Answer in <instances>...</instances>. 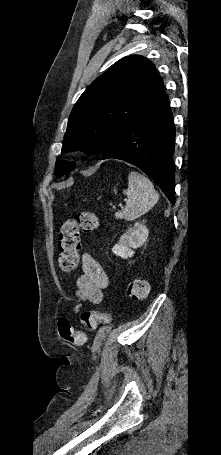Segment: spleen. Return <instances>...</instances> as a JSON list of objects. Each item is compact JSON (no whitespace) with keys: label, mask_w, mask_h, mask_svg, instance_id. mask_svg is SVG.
<instances>
[{"label":"spleen","mask_w":221,"mask_h":455,"mask_svg":"<svg viewBox=\"0 0 221 455\" xmlns=\"http://www.w3.org/2000/svg\"><path fill=\"white\" fill-rule=\"evenodd\" d=\"M125 208L115 213L116 219L133 221L148 212L159 200L152 182L144 175L132 171L128 175Z\"/></svg>","instance_id":"spleen-1"}]
</instances>
